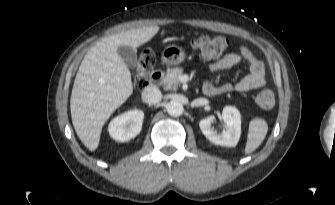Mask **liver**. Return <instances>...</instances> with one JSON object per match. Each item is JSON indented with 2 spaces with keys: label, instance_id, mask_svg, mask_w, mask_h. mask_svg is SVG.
Here are the masks:
<instances>
[{
  "label": "liver",
  "instance_id": "liver-1",
  "mask_svg": "<svg viewBox=\"0 0 335 205\" xmlns=\"http://www.w3.org/2000/svg\"><path fill=\"white\" fill-rule=\"evenodd\" d=\"M159 29L150 26L110 35L84 56L75 77L70 109L75 131L90 151L97 149L105 122L133 93L131 73L117 48L127 45L136 49Z\"/></svg>",
  "mask_w": 335,
  "mask_h": 205
}]
</instances>
